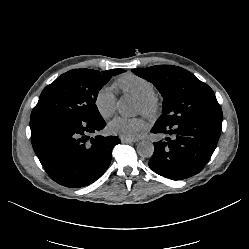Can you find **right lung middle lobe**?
<instances>
[{
    "mask_svg": "<svg viewBox=\"0 0 249 249\" xmlns=\"http://www.w3.org/2000/svg\"><path fill=\"white\" fill-rule=\"evenodd\" d=\"M124 69L96 71L91 69L70 70L42 91L30 119L60 115L88 121L102 118L95 104L99 90L110 78Z\"/></svg>",
    "mask_w": 249,
    "mask_h": 249,
    "instance_id": "right-lung-middle-lobe-1",
    "label": "right lung middle lobe"
}]
</instances>
